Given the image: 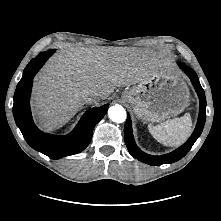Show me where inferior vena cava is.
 I'll use <instances>...</instances> for the list:
<instances>
[{
    "instance_id": "inferior-vena-cava-1",
    "label": "inferior vena cava",
    "mask_w": 221,
    "mask_h": 221,
    "mask_svg": "<svg viewBox=\"0 0 221 221\" xmlns=\"http://www.w3.org/2000/svg\"><path fill=\"white\" fill-rule=\"evenodd\" d=\"M86 104L96 103L99 99V93L96 90H87L82 95Z\"/></svg>"
}]
</instances>
